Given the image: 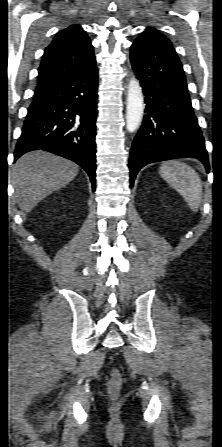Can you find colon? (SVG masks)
I'll return each instance as SVG.
<instances>
[{
    "mask_svg": "<svg viewBox=\"0 0 222 447\" xmlns=\"http://www.w3.org/2000/svg\"><path fill=\"white\" fill-rule=\"evenodd\" d=\"M123 385V376L117 369H113L107 382V391L111 396H117Z\"/></svg>",
    "mask_w": 222,
    "mask_h": 447,
    "instance_id": "1",
    "label": "colon"
}]
</instances>
